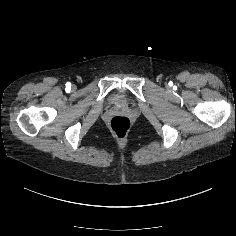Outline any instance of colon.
Masks as SVG:
<instances>
[{"instance_id": "colon-1", "label": "colon", "mask_w": 236, "mask_h": 236, "mask_svg": "<svg viewBox=\"0 0 236 236\" xmlns=\"http://www.w3.org/2000/svg\"><path fill=\"white\" fill-rule=\"evenodd\" d=\"M109 127L116 137L122 139L128 135L131 122L126 116H115L111 119Z\"/></svg>"}]
</instances>
